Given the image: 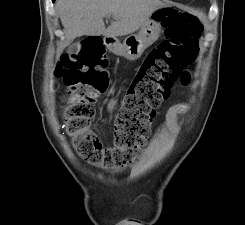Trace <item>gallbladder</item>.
Here are the masks:
<instances>
[{"instance_id": "bac80fb5", "label": "gallbladder", "mask_w": 245, "mask_h": 225, "mask_svg": "<svg viewBox=\"0 0 245 225\" xmlns=\"http://www.w3.org/2000/svg\"><path fill=\"white\" fill-rule=\"evenodd\" d=\"M80 48H81L80 43L76 42V43L72 44L71 46H69L68 51L70 54H76L80 51Z\"/></svg>"}]
</instances>
